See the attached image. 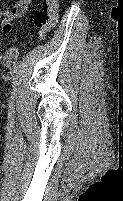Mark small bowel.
Listing matches in <instances>:
<instances>
[{
	"label": "small bowel",
	"instance_id": "1",
	"mask_svg": "<svg viewBox=\"0 0 123 201\" xmlns=\"http://www.w3.org/2000/svg\"><path fill=\"white\" fill-rule=\"evenodd\" d=\"M32 0H15L13 7L0 13V25L4 32L13 29V21L21 18L29 9Z\"/></svg>",
	"mask_w": 123,
	"mask_h": 201
}]
</instances>
